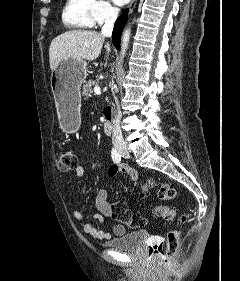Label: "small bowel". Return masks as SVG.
<instances>
[{
	"label": "small bowel",
	"mask_w": 240,
	"mask_h": 281,
	"mask_svg": "<svg viewBox=\"0 0 240 281\" xmlns=\"http://www.w3.org/2000/svg\"><path fill=\"white\" fill-rule=\"evenodd\" d=\"M127 174L129 178L133 181L134 184L138 183V173L133 168L127 165H112L109 168L110 176H117L119 174ZM75 174L77 177H82L85 174V167L83 165H78L75 169ZM95 206L98 210V214L94 216L95 219H98L101 223L105 221V219H111V203L108 200V190L106 188L101 189L95 199ZM72 216L74 219L81 221L84 218L83 212L79 207V202L76 201L74 203V208L72 211ZM83 231L91 236L94 239H106L109 234L105 231L93 226L90 223L82 224ZM126 232L124 225L118 223L113 227V233L117 236H122Z\"/></svg>",
	"instance_id": "c3829d8e"
}]
</instances>
